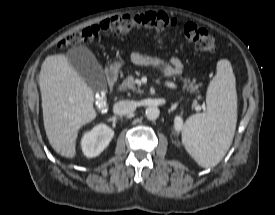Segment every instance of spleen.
Returning <instances> with one entry per match:
<instances>
[{
	"label": "spleen",
	"instance_id": "obj_1",
	"mask_svg": "<svg viewBox=\"0 0 275 215\" xmlns=\"http://www.w3.org/2000/svg\"><path fill=\"white\" fill-rule=\"evenodd\" d=\"M236 80L228 60L217 63V74L209 83L207 110L190 116L183 127L182 142L203 168L218 164L229 150L237 122Z\"/></svg>",
	"mask_w": 275,
	"mask_h": 215
}]
</instances>
